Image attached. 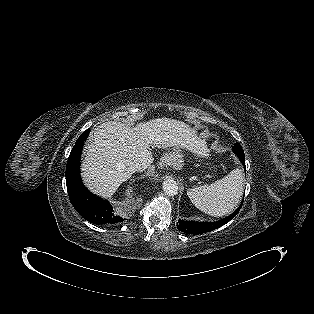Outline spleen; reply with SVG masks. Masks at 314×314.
<instances>
[{
  "instance_id": "obj_1",
  "label": "spleen",
  "mask_w": 314,
  "mask_h": 314,
  "mask_svg": "<svg viewBox=\"0 0 314 314\" xmlns=\"http://www.w3.org/2000/svg\"><path fill=\"white\" fill-rule=\"evenodd\" d=\"M243 184L242 170L235 169L210 185L188 189L187 195L196 208L211 216L220 217L231 213L237 206Z\"/></svg>"
}]
</instances>
